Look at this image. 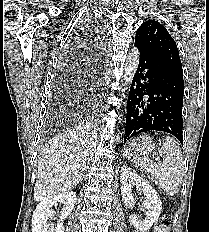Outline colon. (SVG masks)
Instances as JSON below:
<instances>
[{
    "label": "colon",
    "mask_w": 209,
    "mask_h": 232,
    "mask_svg": "<svg viewBox=\"0 0 209 232\" xmlns=\"http://www.w3.org/2000/svg\"><path fill=\"white\" fill-rule=\"evenodd\" d=\"M170 224V216L167 214L162 215L158 220V227L156 232H164Z\"/></svg>",
    "instance_id": "1"
}]
</instances>
